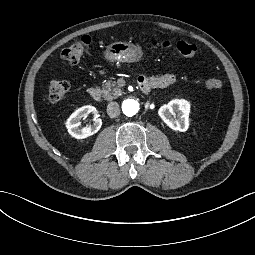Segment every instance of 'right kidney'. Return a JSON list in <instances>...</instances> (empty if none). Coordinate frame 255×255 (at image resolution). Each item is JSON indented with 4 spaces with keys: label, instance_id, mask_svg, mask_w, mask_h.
Masks as SVG:
<instances>
[{
    "label": "right kidney",
    "instance_id": "ca27d5eb",
    "mask_svg": "<svg viewBox=\"0 0 255 255\" xmlns=\"http://www.w3.org/2000/svg\"><path fill=\"white\" fill-rule=\"evenodd\" d=\"M96 111L95 107L87 105L72 113L66 122V127L70 135L77 139H82L98 132L102 126V120L100 118L95 119L93 125L86 126L82 129L79 128L81 124L80 120L83 117H87L90 113L96 114Z\"/></svg>",
    "mask_w": 255,
    "mask_h": 255
}]
</instances>
